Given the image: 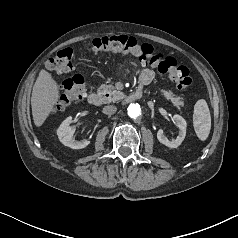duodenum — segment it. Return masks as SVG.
I'll return each mask as SVG.
<instances>
[{
	"mask_svg": "<svg viewBox=\"0 0 238 238\" xmlns=\"http://www.w3.org/2000/svg\"><path fill=\"white\" fill-rule=\"evenodd\" d=\"M140 97H141V90L138 89V90L128 94L125 97L124 101L126 103H131V102H135V101L139 100ZM88 100L93 105H101L104 103V96L102 94L92 93L89 95Z\"/></svg>",
	"mask_w": 238,
	"mask_h": 238,
	"instance_id": "duodenum-1",
	"label": "duodenum"
}]
</instances>
